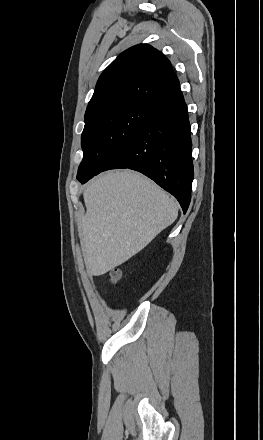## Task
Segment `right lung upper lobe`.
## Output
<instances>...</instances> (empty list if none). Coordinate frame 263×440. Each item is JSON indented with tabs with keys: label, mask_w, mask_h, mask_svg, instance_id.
I'll list each match as a JSON object with an SVG mask.
<instances>
[{
	"label": "right lung upper lobe",
	"mask_w": 263,
	"mask_h": 440,
	"mask_svg": "<svg viewBox=\"0 0 263 440\" xmlns=\"http://www.w3.org/2000/svg\"><path fill=\"white\" fill-rule=\"evenodd\" d=\"M179 89L170 61L150 45L139 44L121 53L101 74L85 120L118 106L155 105Z\"/></svg>",
	"instance_id": "cb5924a9"
}]
</instances>
